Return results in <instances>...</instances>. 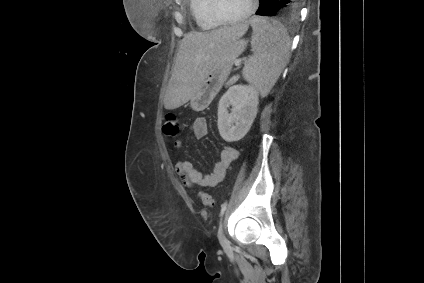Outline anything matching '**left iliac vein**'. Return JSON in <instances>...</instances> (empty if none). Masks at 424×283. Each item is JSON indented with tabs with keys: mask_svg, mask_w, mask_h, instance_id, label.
Wrapping results in <instances>:
<instances>
[{
	"mask_svg": "<svg viewBox=\"0 0 424 283\" xmlns=\"http://www.w3.org/2000/svg\"><path fill=\"white\" fill-rule=\"evenodd\" d=\"M218 238H219V241H220V244L222 245V247L224 249H228L229 248V242L224 235L222 224L220 225V228H219V231H218Z\"/></svg>",
	"mask_w": 424,
	"mask_h": 283,
	"instance_id": "4c4485c4",
	"label": "left iliac vein"
}]
</instances>
